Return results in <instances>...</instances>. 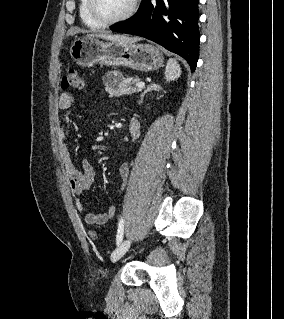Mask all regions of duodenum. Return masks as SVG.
Segmentation results:
<instances>
[{
  "mask_svg": "<svg viewBox=\"0 0 284 319\" xmlns=\"http://www.w3.org/2000/svg\"><path fill=\"white\" fill-rule=\"evenodd\" d=\"M129 134H130L131 138H133V137L135 136L136 130H135L134 127H131V128L129 129Z\"/></svg>",
  "mask_w": 284,
  "mask_h": 319,
  "instance_id": "obj_1",
  "label": "duodenum"
}]
</instances>
